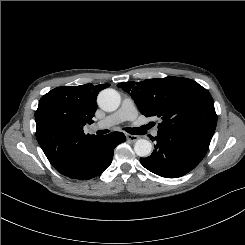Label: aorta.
I'll list each match as a JSON object with an SVG mask.
<instances>
[{"mask_svg": "<svg viewBox=\"0 0 245 245\" xmlns=\"http://www.w3.org/2000/svg\"><path fill=\"white\" fill-rule=\"evenodd\" d=\"M121 103L120 94L111 88L102 90L98 95V105L107 112L118 109ZM152 145L146 139H138L134 144V151L140 157H147L151 154Z\"/></svg>", "mask_w": 245, "mask_h": 245, "instance_id": "762f6f07", "label": "aorta"}]
</instances>
